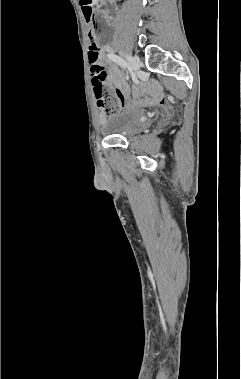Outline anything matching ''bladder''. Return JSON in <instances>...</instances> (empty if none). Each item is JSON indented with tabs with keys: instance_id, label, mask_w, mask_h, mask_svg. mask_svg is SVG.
<instances>
[{
	"instance_id": "1",
	"label": "bladder",
	"mask_w": 241,
	"mask_h": 379,
	"mask_svg": "<svg viewBox=\"0 0 241 379\" xmlns=\"http://www.w3.org/2000/svg\"><path fill=\"white\" fill-rule=\"evenodd\" d=\"M155 121V115L137 110H125L113 114L102 126L108 136L132 137Z\"/></svg>"
}]
</instances>
